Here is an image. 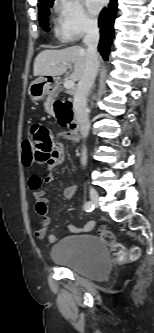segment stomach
I'll return each mask as SVG.
<instances>
[{"label":"stomach","mask_w":154,"mask_h":333,"mask_svg":"<svg viewBox=\"0 0 154 333\" xmlns=\"http://www.w3.org/2000/svg\"><path fill=\"white\" fill-rule=\"evenodd\" d=\"M50 88L51 85L47 79L40 77L30 84L28 94L32 100L38 101L50 94Z\"/></svg>","instance_id":"stomach-1"}]
</instances>
